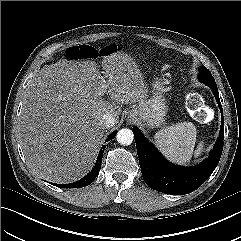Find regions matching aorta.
<instances>
[{
	"label": "aorta",
	"mask_w": 241,
	"mask_h": 241,
	"mask_svg": "<svg viewBox=\"0 0 241 241\" xmlns=\"http://www.w3.org/2000/svg\"><path fill=\"white\" fill-rule=\"evenodd\" d=\"M116 139L121 145H130L133 142L134 135L132 130L123 128L118 131Z\"/></svg>",
	"instance_id": "aorta-1"
}]
</instances>
